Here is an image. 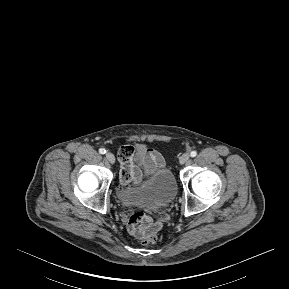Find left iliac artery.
Returning a JSON list of instances; mask_svg holds the SVG:
<instances>
[{
  "mask_svg": "<svg viewBox=\"0 0 289 289\" xmlns=\"http://www.w3.org/2000/svg\"><path fill=\"white\" fill-rule=\"evenodd\" d=\"M197 155V152L196 151H192L191 153H190V156L191 157H195Z\"/></svg>",
  "mask_w": 289,
  "mask_h": 289,
  "instance_id": "obj_1",
  "label": "left iliac artery"
}]
</instances>
